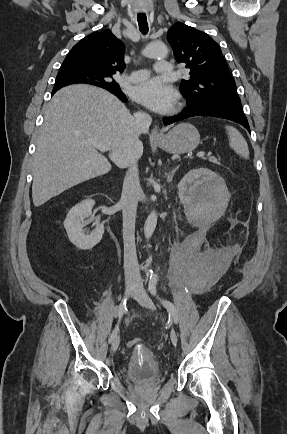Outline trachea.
<instances>
[{
  "label": "trachea",
  "instance_id": "3493384b",
  "mask_svg": "<svg viewBox=\"0 0 287 434\" xmlns=\"http://www.w3.org/2000/svg\"><path fill=\"white\" fill-rule=\"evenodd\" d=\"M139 30L142 34H146L148 32V22L147 17L145 14H138L137 15Z\"/></svg>",
  "mask_w": 287,
  "mask_h": 434
}]
</instances>
